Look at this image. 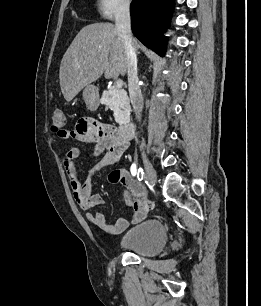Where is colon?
<instances>
[{
    "label": "colon",
    "instance_id": "5ec220e1",
    "mask_svg": "<svg viewBox=\"0 0 261 306\" xmlns=\"http://www.w3.org/2000/svg\"><path fill=\"white\" fill-rule=\"evenodd\" d=\"M64 124H65V114L63 110L59 107H55L51 114V129L56 132L59 136H61L64 132ZM124 177L120 172L114 171L110 174V180L114 183L122 181ZM153 206L151 201L145 202V208L151 209Z\"/></svg>",
    "mask_w": 261,
    "mask_h": 306
}]
</instances>
